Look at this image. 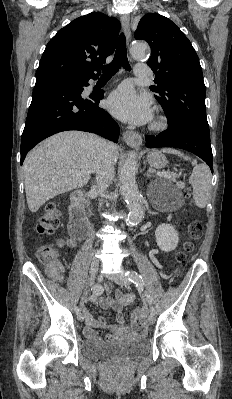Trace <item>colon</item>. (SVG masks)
<instances>
[{"label": "colon", "mask_w": 232, "mask_h": 399, "mask_svg": "<svg viewBox=\"0 0 232 399\" xmlns=\"http://www.w3.org/2000/svg\"><path fill=\"white\" fill-rule=\"evenodd\" d=\"M181 182H186V177H181ZM43 209L46 214L43 218H40V222L36 225V230L40 234L51 233L61 225V220L58 217L57 203L53 200H47L43 204ZM189 230V235L198 236L203 230V225H200L198 221H191L190 225L186 226ZM57 244H50L45 249H41L37 253V258L42 262L44 268L48 269V273L51 277V282L58 285H63L67 281V276L63 273L59 266V260L57 255ZM182 249L186 253H191L195 249V244L191 240H186L182 244ZM191 258L187 257L184 253H178L174 257L175 264L171 266L170 273L174 277H179L183 273L182 266L190 262ZM133 324H148L147 313H132ZM134 335H147V328H139L136 325L134 328Z\"/></svg>", "instance_id": "obj_1"}]
</instances>
